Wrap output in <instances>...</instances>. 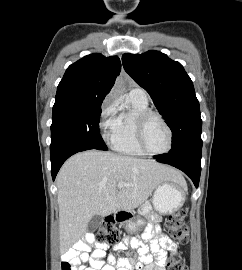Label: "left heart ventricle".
<instances>
[{"instance_id": "left-heart-ventricle-1", "label": "left heart ventricle", "mask_w": 242, "mask_h": 270, "mask_svg": "<svg viewBox=\"0 0 242 270\" xmlns=\"http://www.w3.org/2000/svg\"><path fill=\"white\" fill-rule=\"evenodd\" d=\"M145 142L153 152H162L168 146V133L164 125L157 119H152L145 131Z\"/></svg>"}]
</instances>
